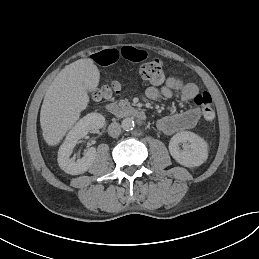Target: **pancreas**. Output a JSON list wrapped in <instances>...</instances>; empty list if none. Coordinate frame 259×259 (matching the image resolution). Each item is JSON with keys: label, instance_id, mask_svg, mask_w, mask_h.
Returning a JSON list of instances; mask_svg holds the SVG:
<instances>
[{"label": "pancreas", "instance_id": "pancreas-1", "mask_svg": "<svg viewBox=\"0 0 259 259\" xmlns=\"http://www.w3.org/2000/svg\"><path fill=\"white\" fill-rule=\"evenodd\" d=\"M123 101V103H125L126 105H130V103H129V101H128V99H124V100H122Z\"/></svg>", "mask_w": 259, "mask_h": 259}]
</instances>
